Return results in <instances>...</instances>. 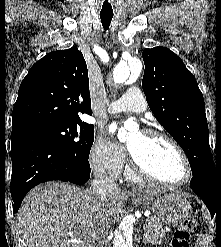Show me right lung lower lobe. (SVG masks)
<instances>
[{"mask_svg":"<svg viewBox=\"0 0 221 247\" xmlns=\"http://www.w3.org/2000/svg\"><path fill=\"white\" fill-rule=\"evenodd\" d=\"M11 196L16 213L27 192L52 180L84 184L90 178L88 160L77 158L44 138L12 131Z\"/></svg>","mask_w":221,"mask_h":247,"instance_id":"right-lung-lower-lobe-1","label":"right lung lower lobe"}]
</instances>
